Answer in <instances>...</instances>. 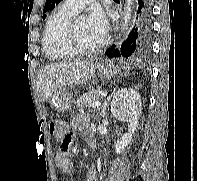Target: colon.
Listing matches in <instances>:
<instances>
[{
    "instance_id": "colon-1",
    "label": "colon",
    "mask_w": 197,
    "mask_h": 181,
    "mask_svg": "<svg viewBox=\"0 0 197 181\" xmlns=\"http://www.w3.org/2000/svg\"><path fill=\"white\" fill-rule=\"evenodd\" d=\"M62 128H63V125L59 121H52L49 124L50 133L55 135L56 137L60 136ZM60 149L63 151H66L68 149V143L66 139H63L61 141Z\"/></svg>"
}]
</instances>
